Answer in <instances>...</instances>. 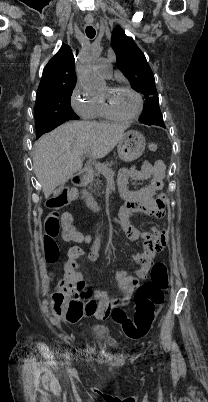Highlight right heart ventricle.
Segmentation results:
<instances>
[{
    "mask_svg": "<svg viewBox=\"0 0 208 402\" xmlns=\"http://www.w3.org/2000/svg\"><path fill=\"white\" fill-rule=\"evenodd\" d=\"M96 97H97V104H96V109H95V115H94V118L92 119L93 123L96 125L105 126V125H109L111 123L118 121L115 118H113L111 115H109V113L107 112V110L105 109L103 104L101 103L98 95H96Z\"/></svg>",
    "mask_w": 208,
    "mask_h": 402,
    "instance_id": "e07e8e85",
    "label": "right heart ventricle"
}]
</instances>
